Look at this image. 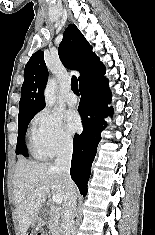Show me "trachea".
Here are the masks:
<instances>
[{
    "label": "trachea",
    "instance_id": "3493384b",
    "mask_svg": "<svg viewBox=\"0 0 155 235\" xmlns=\"http://www.w3.org/2000/svg\"><path fill=\"white\" fill-rule=\"evenodd\" d=\"M71 89L76 95H79L78 80L75 76H72L71 79Z\"/></svg>",
    "mask_w": 155,
    "mask_h": 235
}]
</instances>
